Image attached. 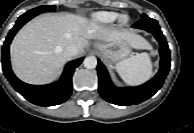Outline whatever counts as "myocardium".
Masks as SVG:
<instances>
[{
    "mask_svg": "<svg viewBox=\"0 0 194 133\" xmlns=\"http://www.w3.org/2000/svg\"><path fill=\"white\" fill-rule=\"evenodd\" d=\"M128 21H129V19H128L127 16H122V17H120V23H121V24L125 25V24L128 23Z\"/></svg>",
    "mask_w": 194,
    "mask_h": 133,
    "instance_id": "obj_1",
    "label": "myocardium"
}]
</instances>
